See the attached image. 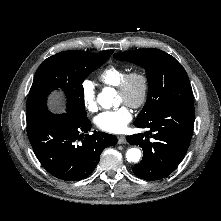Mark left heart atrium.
Instances as JSON below:
<instances>
[{"label": "left heart atrium", "instance_id": "39dd6f15", "mask_svg": "<svg viewBox=\"0 0 221 221\" xmlns=\"http://www.w3.org/2000/svg\"><path fill=\"white\" fill-rule=\"evenodd\" d=\"M132 120V113L130 109L123 105L114 110L101 112L95 118L96 126L108 133L123 132L128 123Z\"/></svg>", "mask_w": 221, "mask_h": 221}]
</instances>
